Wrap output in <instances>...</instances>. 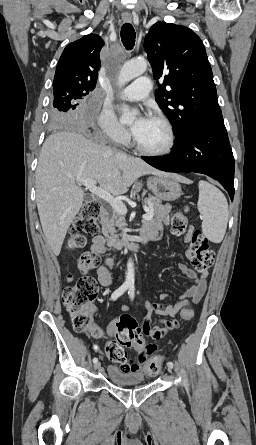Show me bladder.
<instances>
[{"label":"bladder","mask_w":256,"mask_h":445,"mask_svg":"<svg viewBox=\"0 0 256 445\" xmlns=\"http://www.w3.org/2000/svg\"><path fill=\"white\" fill-rule=\"evenodd\" d=\"M108 376L111 382L117 385H142L145 383L144 375L138 371L109 367Z\"/></svg>","instance_id":"obj_1"}]
</instances>
